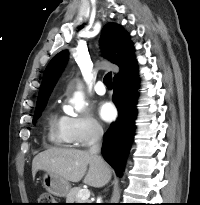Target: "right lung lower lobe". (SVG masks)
<instances>
[{
  "mask_svg": "<svg viewBox=\"0 0 200 205\" xmlns=\"http://www.w3.org/2000/svg\"><path fill=\"white\" fill-rule=\"evenodd\" d=\"M113 102L119 111V119L106 132L102 153L105 160L121 176L129 152L137 114V85L139 82L136 64L125 73L113 79Z\"/></svg>",
  "mask_w": 200,
  "mask_h": 205,
  "instance_id": "1",
  "label": "right lung lower lobe"
}]
</instances>
